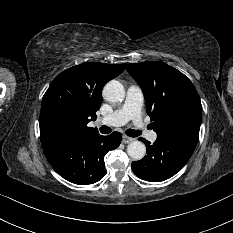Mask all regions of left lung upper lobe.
Masks as SVG:
<instances>
[{"label":"left lung upper lobe","mask_w":233,"mask_h":233,"mask_svg":"<svg viewBox=\"0 0 233 233\" xmlns=\"http://www.w3.org/2000/svg\"><path fill=\"white\" fill-rule=\"evenodd\" d=\"M146 100L147 114L159 138L198 140L202 107L192 82L177 69L161 62L128 64Z\"/></svg>","instance_id":"left-lung-upper-lobe-1"}]
</instances>
